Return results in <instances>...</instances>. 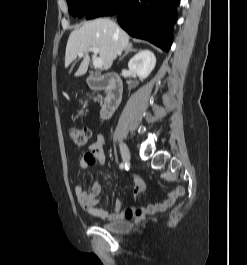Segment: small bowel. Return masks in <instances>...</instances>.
<instances>
[{"label":"small bowel","instance_id":"1","mask_svg":"<svg viewBox=\"0 0 247 265\" xmlns=\"http://www.w3.org/2000/svg\"><path fill=\"white\" fill-rule=\"evenodd\" d=\"M104 139L101 135L89 146L88 151L81 157L80 167L85 169L95 164H103L105 162ZM134 180V196L138 197L144 190V184L137 174H131ZM75 196L81 207L89 214L106 221L123 220V219H142L143 217L164 211L166 208L174 204L180 198L184 190L177 187L169 192L162 202L151 203L141 208L132 206L125 211L120 210V202H115V209L112 212L98 208L101 197V184L96 181L91 188L86 191L81 185L74 188Z\"/></svg>","mask_w":247,"mask_h":265}]
</instances>
